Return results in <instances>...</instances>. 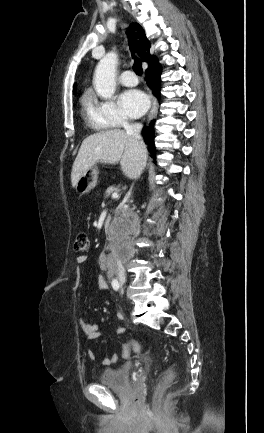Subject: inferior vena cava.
<instances>
[{"instance_id":"inferior-vena-cava-1","label":"inferior vena cava","mask_w":264,"mask_h":433,"mask_svg":"<svg viewBox=\"0 0 264 433\" xmlns=\"http://www.w3.org/2000/svg\"><path fill=\"white\" fill-rule=\"evenodd\" d=\"M123 127L126 130V133L130 136H132L133 138H135V140L138 142L139 146H140V150L144 151V149L146 148L145 144L142 141V137L140 135L141 130H142V124L141 123H128L127 121H125L123 123ZM130 194V192H129ZM117 272H118V277L120 279H125V269L124 266L122 265L121 261H117Z\"/></svg>"}]
</instances>
